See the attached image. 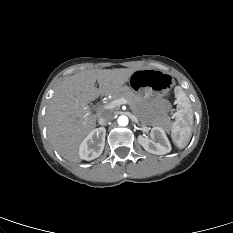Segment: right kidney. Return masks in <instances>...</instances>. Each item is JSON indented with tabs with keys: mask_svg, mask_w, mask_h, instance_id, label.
Instances as JSON below:
<instances>
[{
	"mask_svg": "<svg viewBox=\"0 0 233 233\" xmlns=\"http://www.w3.org/2000/svg\"><path fill=\"white\" fill-rule=\"evenodd\" d=\"M105 128L92 130L79 146V156L84 160H93L99 157L105 145Z\"/></svg>",
	"mask_w": 233,
	"mask_h": 233,
	"instance_id": "1",
	"label": "right kidney"
}]
</instances>
